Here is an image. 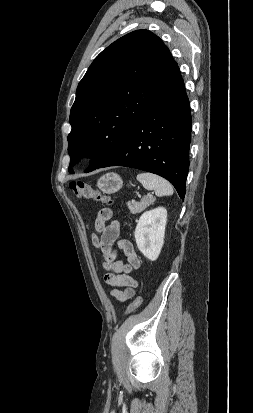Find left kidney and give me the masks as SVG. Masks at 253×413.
Returning a JSON list of instances; mask_svg holds the SVG:
<instances>
[{"label": "left kidney", "instance_id": "left-kidney-1", "mask_svg": "<svg viewBox=\"0 0 253 413\" xmlns=\"http://www.w3.org/2000/svg\"><path fill=\"white\" fill-rule=\"evenodd\" d=\"M167 210L158 207L141 215L135 229V240L140 252L155 261L163 247Z\"/></svg>", "mask_w": 253, "mask_h": 413}]
</instances>
